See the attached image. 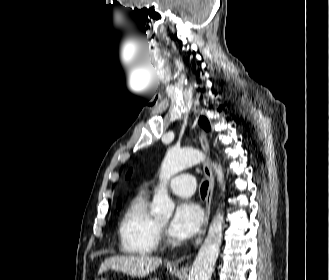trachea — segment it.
Masks as SVG:
<instances>
[{
  "mask_svg": "<svg viewBox=\"0 0 329 280\" xmlns=\"http://www.w3.org/2000/svg\"><path fill=\"white\" fill-rule=\"evenodd\" d=\"M208 185H209L208 181L203 182L202 185H201V196H202L203 198H204V197L206 196V194H207Z\"/></svg>",
  "mask_w": 329,
  "mask_h": 280,
  "instance_id": "3493384b",
  "label": "trachea"
}]
</instances>
